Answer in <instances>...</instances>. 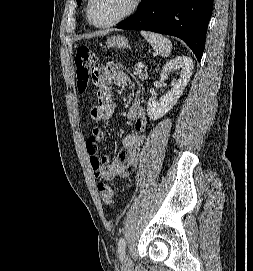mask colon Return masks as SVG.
Here are the masks:
<instances>
[{
  "instance_id": "obj_1",
  "label": "colon",
  "mask_w": 253,
  "mask_h": 271,
  "mask_svg": "<svg viewBox=\"0 0 253 271\" xmlns=\"http://www.w3.org/2000/svg\"><path fill=\"white\" fill-rule=\"evenodd\" d=\"M97 56L87 47H79L74 58V67L76 74V85L79 92H85L91 80L97 79ZM100 197L106 204H112L115 198V192L110 184L100 183L98 185Z\"/></svg>"
}]
</instances>
